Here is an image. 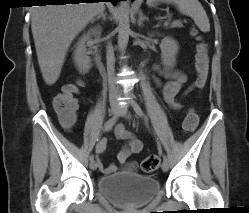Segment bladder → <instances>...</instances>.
<instances>
[{
    "instance_id": "obj_1",
    "label": "bladder",
    "mask_w": 249,
    "mask_h": 213,
    "mask_svg": "<svg viewBox=\"0 0 249 213\" xmlns=\"http://www.w3.org/2000/svg\"><path fill=\"white\" fill-rule=\"evenodd\" d=\"M97 188L113 203L124 207H134L149 202L159 192L160 185L151 176L121 171L100 177Z\"/></svg>"
}]
</instances>
